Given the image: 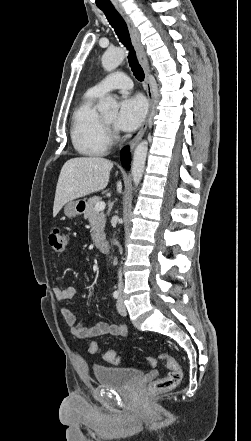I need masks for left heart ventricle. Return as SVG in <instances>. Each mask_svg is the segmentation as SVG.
Returning <instances> with one entry per match:
<instances>
[{
    "mask_svg": "<svg viewBox=\"0 0 251 441\" xmlns=\"http://www.w3.org/2000/svg\"><path fill=\"white\" fill-rule=\"evenodd\" d=\"M115 119H116L115 115H110V116L105 117V120L111 124L115 121Z\"/></svg>",
    "mask_w": 251,
    "mask_h": 441,
    "instance_id": "obj_1",
    "label": "left heart ventricle"
}]
</instances>
